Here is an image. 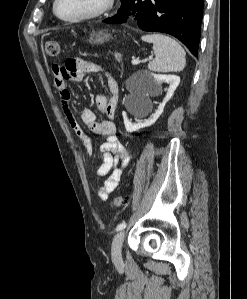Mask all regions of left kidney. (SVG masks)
Here are the masks:
<instances>
[{
    "label": "left kidney",
    "instance_id": "5707ae66",
    "mask_svg": "<svg viewBox=\"0 0 247 299\" xmlns=\"http://www.w3.org/2000/svg\"><path fill=\"white\" fill-rule=\"evenodd\" d=\"M167 83L169 85L166 96L164 97L162 103L159 105L158 109L153 113L148 119L143 121L132 123L131 120L124 116V125L127 132L138 131L141 128L151 126L156 122L159 116L163 113L164 107L169 99L173 96L174 91L180 83V77L177 75H158L153 74L147 77V91L143 92L138 96V99L135 101L133 107L130 109L131 113L135 116H141L145 113L148 106V101L143 100V98L149 97L150 94L155 93L162 83Z\"/></svg>",
    "mask_w": 247,
    "mask_h": 299
}]
</instances>
